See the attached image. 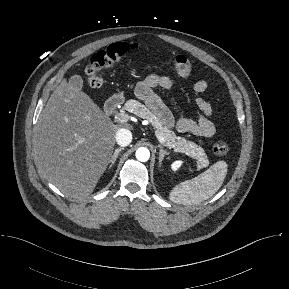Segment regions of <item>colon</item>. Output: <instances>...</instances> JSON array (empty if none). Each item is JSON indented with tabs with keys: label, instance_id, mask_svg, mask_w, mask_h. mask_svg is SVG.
<instances>
[{
	"label": "colon",
	"instance_id": "5ec220e1",
	"mask_svg": "<svg viewBox=\"0 0 289 289\" xmlns=\"http://www.w3.org/2000/svg\"><path fill=\"white\" fill-rule=\"evenodd\" d=\"M133 48H135L134 44L120 42L95 53L85 69L88 85L91 88L98 89L102 84L98 73L113 68ZM171 65L173 70L181 77H189L193 72L191 61L184 55L174 56L171 60ZM212 148L213 152L217 155H226L229 152L228 144L221 139L215 141Z\"/></svg>",
	"mask_w": 289,
	"mask_h": 289
}]
</instances>
